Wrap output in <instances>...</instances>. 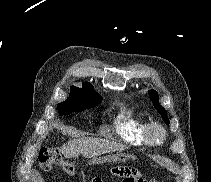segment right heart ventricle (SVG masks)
<instances>
[{
  "label": "right heart ventricle",
  "instance_id": "obj_1",
  "mask_svg": "<svg viewBox=\"0 0 211 182\" xmlns=\"http://www.w3.org/2000/svg\"><path fill=\"white\" fill-rule=\"evenodd\" d=\"M148 122L134 115L130 111H122L116 122L118 134L128 143L133 145L148 144L144 137V128Z\"/></svg>",
  "mask_w": 211,
  "mask_h": 182
}]
</instances>
